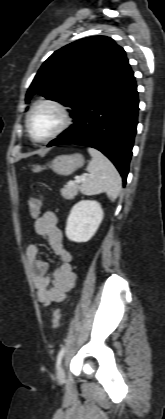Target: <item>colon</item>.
<instances>
[{
	"label": "colon",
	"mask_w": 165,
	"mask_h": 419,
	"mask_svg": "<svg viewBox=\"0 0 165 419\" xmlns=\"http://www.w3.org/2000/svg\"><path fill=\"white\" fill-rule=\"evenodd\" d=\"M29 209L33 218H38L41 211V199L39 197H31L29 200ZM61 322V313L56 309L52 315V326L58 328Z\"/></svg>",
	"instance_id": "5ec220e1"
}]
</instances>
